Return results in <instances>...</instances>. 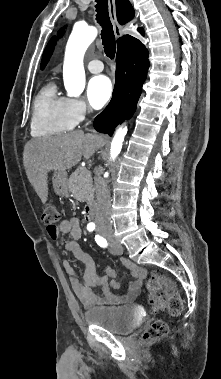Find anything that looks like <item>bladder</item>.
Listing matches in <instances>:
<instances>
[{
    "label": "bladder",
    "instance_id": "obj_1",
    "mask_svg": "<svg viewBox=\"0 0 221 379\" xmlns=\"http://www.w3.org/2000/svg\"><path fill=\"white\" fill-rule=\"evenodd\" d=\"M87 323L100 326L113 334H128L134 330L143 317L134 307L100 306L86 310Z\"/></svg>",
    "mask_w": 221,
    "mask_h": 379
}]
</instances>
